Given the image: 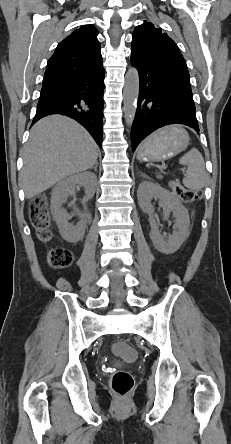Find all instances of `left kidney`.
<instances>
[{
    "mask_svg": "<svg viewBox=\"0 0 231 444\" xmlns=\"http://www.w3.org/2000/svg\"><path fill=\"white\" fill-rule=\"evenodd\" d=\"M137 198L141 209L149 214L150 237L155 248L164 254L176 252L189 235L190 220L187 209L173 193L150 181H143L139 185ZM153 198L160 199L166 217L172 212L175 218L174 232L168 238L160 234L157 223L151 215L154 210L151 203Z\"/></svg>",
    "mask_w": 231,
    "mask_h": 444,
    "instance_id": "left-kidney-1",
    "label": "left kidney"
}]
</instances>
